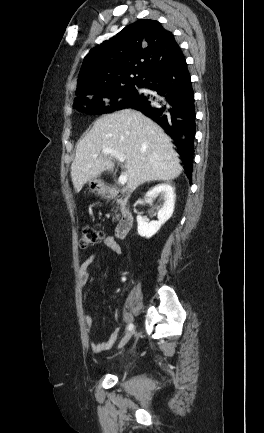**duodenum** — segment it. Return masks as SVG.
<instances>
[{
    "label": "duodenum",
    "mask_w": 264,
    "mask_h": 433,
    "mask_svg": "<svg viewBox=\"0 0 264 433\" xmlns=\"http://www.w3.org/2000/svg\"><path fill=\"white\" fill-rule=\"evenodd\" d=\"M104 195L106 196V198L110 200H118L122 204H126L130 197V194L127 191L114 189V188H110L104 191ZM133 223H134L133 213L128 209H124L121 219L116 228V232H115L116 237L124 238L131 230Z\"/></svg>",
    "instance_id": "410a0bca"
}]
</instances>
